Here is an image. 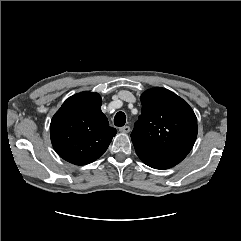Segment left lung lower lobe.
<instances>
[{"label":"left lung lower lobe","instance_id":"0a47b994","mask_svg":"<svg viewBox=\"0 0 241 241\" xmlns=\"http://www.w3.org/2000/svg\"><path fill=\"white\" fill-rule=\"evenodd\" d=\"M139 158L148 166L155 169H168L180 163L186 155L176 153H160L134 145Z\"/></svg>","mask_w":241,"mask_h":241}]
</instances>
